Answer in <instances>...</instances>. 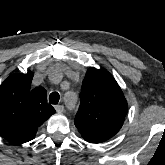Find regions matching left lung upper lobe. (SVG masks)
Instances as JSON below:
<instances>
[{
  "label": "left lung upper lobe",
  "instance_id": "left-lung-upper-lobe-1",
  "mask_svg": "<svg viewBox=\"0 0 165 165\" xmlns=\"http://www.w3.org/2000/svg\"><path fill=\"white\" fill-rule=\"evenodd\" d=\"M80 101L74 123L83 138L101 143L118 133L128 105L122 90L107 70L88 69Z\"/></svg>",
  "mask_w": 165,
  "mask_h": 165
}]
</instances>
